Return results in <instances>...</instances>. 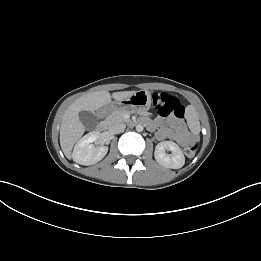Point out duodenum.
I'll use <instances>...</instances> for the list:
<instances>
[{
	"mask_svg": "<svg viewBox=\"0 0 261 261\" xmlns=\"http://www.w3.org/2000/svg\"><path fill=\"white\" fill-rule=\"evenodd\" d=\"M109 109H110V107L102 108V109L100 110V114H101V115H104L105 113H107V112L109 111ZM105 128H106V124H105L103 121H100V122L98 123V125H97V130H98V131H103V130H105Z\"/></svg>",
	"mask_w": 261,
	"mask_h": 261,
	"instance_id": "1",
	"label": "duodenum"
}]
</instances>
